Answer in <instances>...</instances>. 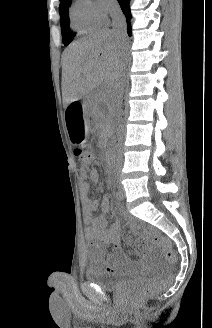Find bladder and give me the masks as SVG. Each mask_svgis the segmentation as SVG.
Segmentation results:
<instances>
[{
	"label": "bladder",
	"mask_w": 212,
	"mask_h": 328,
	"mask_svg": "<svg viewBox=\"0 0 212 328\" xmlns=\"http://www.w3.org/2000/svg\"><path fill=\"white\" fill-rule=\"evenodd\" d=\"M140 275V272H135L121 276L100 270L93 265H91L86 271V278L106 291H118L126 285L136 281Z\"/></svg>",
	"instance_id": "bladder-1"
}]
</instances>
